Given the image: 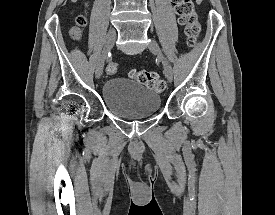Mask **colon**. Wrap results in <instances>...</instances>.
<instances>
[{
	"label": "colon",
	"instance_id": "colon-1",
	"mask_svg": "<svg viewBox=\"0 0 275 215\" xmlns=\"http://www.w3.org/2000/svg\"><path fill=\"white\" fill-rule=\"evenodd\" d=\"M176 13L179 15V22L185 26V33L187 36V43L193 46L199 35L200 27L198 23L197 14L195 11L194 0H173ZM74 27L71 35L74 39L81 37V29L86 24V18L82 14H77L74 17ZM117 71V64L111 62L107 66V73L113 74ZM130 75L134 77L139 83L147 86L149 89L162 92L165 89V82L160 76L150 70H130Z\"/></svg>",
	"mask_w": 275,
	"mask_h": 215
}]
</instances>
